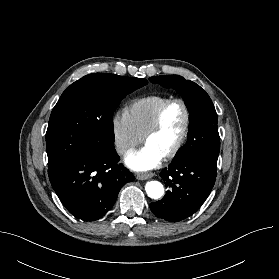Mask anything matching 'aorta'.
<instances>
[{
	"label": "aorta",
	"instance_id": "aorta-1",
	"mask_svg": "<svg viewBox=\"0 0 279 279\" xmlns=\"http://www.w3.org/2000/svg\"><path fill=\"white\" fill-rule=\"evenodd\" d=\"M147 195L151 199H159L164 194V187L159 181H148L145 185Z\"/></svg>",
	"mask_w": 279,
	"mask_h": 279
}]
</instances>
